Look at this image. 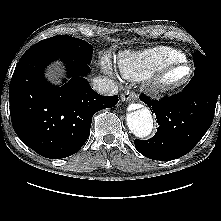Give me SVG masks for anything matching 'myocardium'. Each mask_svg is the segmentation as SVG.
Masks as SVG:
<instances>
[{
    "instance_id": "f54148a6",
    "label": "myocardium",
    "mask_w": 221,
    "mask_h": 221,
    "mask_svg": "<svg viewBox=\"0 0 221 221\" xmlns=\"http://www.w3.org/2000/svg\"><path fill=\"white\" fill-rule=\"evenodd\" d=\"M187 67L188 68V75L181 81L178 82H168L167 77L168 75L173 72L174 70L180 67ZM193 76V67L187 61L177 62L171 65H168L161 70H159L153 78L149 81L148 87L150 91L158 96L167 95L173 92H176L183 87H185L192 79Z\"/></svg>"
}]
</instances>
